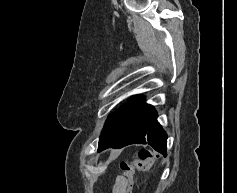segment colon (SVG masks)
Wrapping results in <instances>:
<instances>
[{"label":"colon","mask_w":237,"mask_h":193,"mask_svg":"<svg viewBox=\"0 0 237 193\" xmlns=\"http://www.w3.org/2000/svg\"><path fill=\"white\" fill-rule=\"evenodd\" d=\"M155 155L148 149L141 150L134 159L124 160L120 163L124 177L127 179V193L132 192L133 176L135 171H147L151 168Z\"/></svg>","instance_id":"colon-1"}]
</instances>
